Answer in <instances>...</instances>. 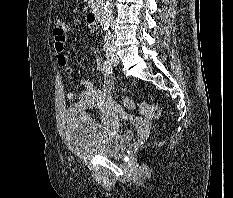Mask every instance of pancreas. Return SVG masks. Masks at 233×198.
Listing matches in <instances>:
<instances>
[{"mask_svg":"<svg viewBox=\"0 0 233 198\" xmlns=\"http://www.w3.org/2000/svg\"><path fill=\"white\" fill-rule=\"evenodd\" d=\"M103 0H89L88 5L94 9L102 5Z\"/></svg>","mask_w":233,"mask_h":198,"instance_id":"cf45deb5","label":"pancreas"}]
</instances>
